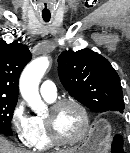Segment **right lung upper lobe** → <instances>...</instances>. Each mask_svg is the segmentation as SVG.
I'll return each mask as SVG.
<instances>
[{"mask_svg":"<svg viewBox=\"0 0 130 153\" xmlns=\"http://www.w3.org/2000/svg\"><path fill=\"white\" fill-rule=\"evenodd\" d=\"M30 60L25 45L0 41V98L17 100L19 75Z\"/></svg>","mask_w":130,"mask_h":153,"instance_id":"right-lung-upper-lobe-1","label":"right lung upper lobe"}]
</instances>
